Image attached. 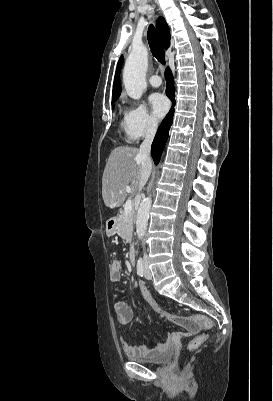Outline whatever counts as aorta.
<instances>
[{
    "instance_id": "1",
    "label": "aorta",
    "mask_w": 273,
    "mask_h": 401,
    "mask_svg": "<svg viewBox=\"0 0 273 401\" xmlns=\"http://www.w3.org/2000/svg\"><path fill=\"white\" fill-rule=\"evenodd\" d=\"M148 67V51L145 46H134L128 56L124 70L123 83L126 93L133 99H140L146 89V71ZM152 199L144 198L139 206L136 218V234L142 239L147 227Z\"/></svg>"
}]
</instances>
